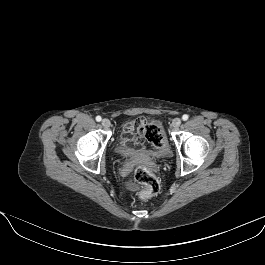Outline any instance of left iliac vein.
Here are the masks:
<instances>
[{
    "instance_id": "obj_1",
    "label": "left iliac vein",
    "mask_w": 265,
    "mask_h": 265,
    "mask_svg": "<svg viewBox=\"0 0 265 265\" xmlns=\"http://www.w3.org/2000/svg\"><path fill=\"white\" fill-rule=\"evenodd\" d=\"M181 125V119L180 118H175L172 122L173 128L177 129Z\"/></svg>"
}]
</instances>
